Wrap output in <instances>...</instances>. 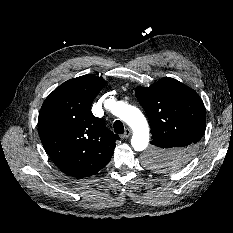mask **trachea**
I'll use <instances>...</instances> for the list:
<instances>
[{
	"label": "trachea",
	"instance_id": "3493384b",
	"mask_svg": "<svg viewBox=\"0 0 233 233\" xmlns=\"http://www.w3.org/2000/svg\"><path fill=\"white\" fill-rule=\"evenodd\" d=\"M114 132L116 134H123L124 133V126L123 123L120 120H116L114 122Z\"/></svg>",
	"mask_w": 233,
	"mask_h": 233
}]
</instances>
